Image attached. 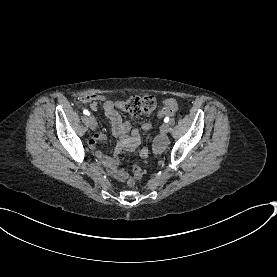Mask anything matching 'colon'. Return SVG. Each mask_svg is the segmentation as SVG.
Returning <instances> with one entry per match:
<instances>
[{
  "label": "colon",
  "mask_w": 277,
  "mask_h": 277,
  "mask_svg": "<svg viewBox=\"0 0 277 277\" xmlns=\"http://www.w3.org/2000/svg\"><path fill=\"white\" fill-rule=\"evenodd\" d=\"M163 102L157 100L153 95L145 96H134L127 100L120 101V108L123 112H128L133 115H141L150 113L158 106H162ZM142 177L141 169L138 167L134 168V173L128 179V185L134 186L137 180Z\"/></svg>",
  "instance_id": "1"
}]
</instances>
